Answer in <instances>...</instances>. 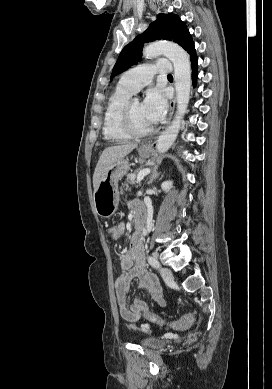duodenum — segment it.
I'll return each mask as SVG.
<instances>
[{"mask_svg": "<svg viewBox=\"0 0 272 389\" xmlns=\"http://www.w3.org/2000/svg\"><path fill=\"white\" fill-rule=\"evenodd\" d=\"M135 223L139 231H142L145 227L146 216L141 212L135 213Z\"/></svg>", "mask_w": 272, "mask_h": 389, "instance_id": "obj_1", "label": "duodenum"}]
</instances>
